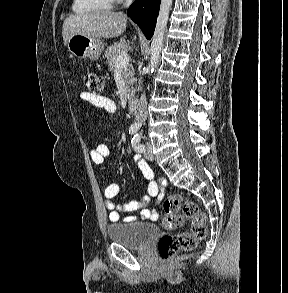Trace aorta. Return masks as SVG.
Instances as JSON below:
<instances>
[{
  "instance_id": "aorta-1",
  "label": "aorta",
  "mask_w": 288,
  "mask_h": 293,
  "mask_svg": "<svg viewBox=\"0 0 288 293\" xmlns=\"http://www.w3.org/2000/svg\"><path fill=\"white\" fill-rule=\"evenodd\" d=\"M171 6L172 0H161L156 28L151 41L150 62L147 68V73L149 75L154 72L160 59Z\"/></svg>"
}]
</instances>
